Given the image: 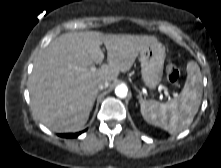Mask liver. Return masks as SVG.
<instances>
[{
  "mask_svg": "<svg viewBox=\"0 0 221 168\" xmlns=\"http://www.w3.org/2000/svg\"><path fill=\"white\" fill-rule=\"evenodd\" d=\"M154 36L114 35L96 31L62 34L53 40L34 64L29 79L34 114L54 132H77L87 123L98 85L115 81L131 69L139 53L157 44ZM107 49V64L95 71Z\"/></svg>",
  "mask_w": 221,
  "mask_h": 168,
  "instance_id": "1",
  "label": "liver"
}]
</instances>
